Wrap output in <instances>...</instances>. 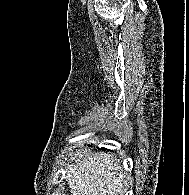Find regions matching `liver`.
Returning <instances> with one entry per match:
<instances>
[{"label": "liver", "instance_id": "1", "mask_svg": "<svg viewBox=\"0 0 189 195\" xmlns=\"http://www.w3.org/2000/svg\"><path fill=\"white\" fill-rule=\"evenodd\" d=\"M79 156L67 175L73 195H118L124 180L110 154Z\"/></svg>", "mask_w": 189, "mask_h": 195}]
</instances>
